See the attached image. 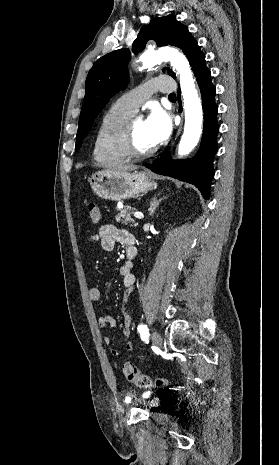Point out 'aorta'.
Segmentation results:
<instances>
[{
  "instance_id": "1",
  "label": "aorta",
  "mask_w": 279,
  "mask_h": 465,
  "mask_svg": "<svg viewBox=\"0 0 279 465\" xmlns=\"http://www.w3.org/2000/svg\"><path fill=\"white\" fill-rule=\"evenodd\" d=\"M140 60L144 66L155 64L162 60H168L172 68L180 76L181 93L184 102L185 125L181 137L178 154L186 155L197 145L203 122L201 100L195 88L190 64L182 53L175 49H165L150 54H144Z\"/></svg>"
}]
</instances>
